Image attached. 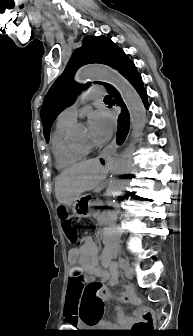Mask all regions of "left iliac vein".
<instances>
[{
  "mask_svg": "<svg viewBox=\"0 0 193 336\" xmlns=\"http://www.w3.org/2000/svg\"><path fill=\"white\" fill-rule=\"evenodd\" d=\"M119 264H120V267L123 269L125 276L131 279L133 276V271H132V268L129 262L126 259L121 258L119 261Z\"/></svg>",
  "mask_w": 193,
  "mask_h": 336,
  "instance_id": "obj_1",
  "label": "left iliac vein"
}]
</instances>
